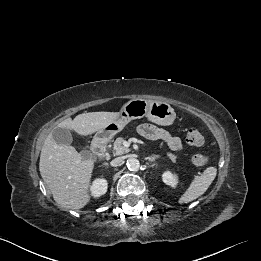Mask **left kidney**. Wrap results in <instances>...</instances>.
<instances>
[{"label":"left kidney","instance_id":"5707ae66","mask_svg":"<svg viewBox=\"0 0 261 261\" xmlns=\"http://www.w3.org/2000/svg\"><path fill=\"white\" fill-rule=\"evenodd\" d=\"M162 180L165 184L175 187L178 183V177L176 174H172L170 171H166L162 175Z\"/></svg>","mask_w":261,"mask_h":261}]
</instances>
